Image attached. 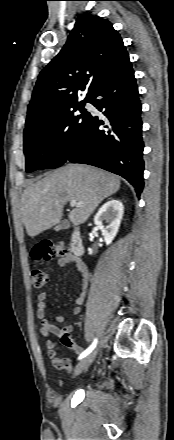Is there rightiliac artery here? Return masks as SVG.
I'll return each mask as SVG.
<instances>
[{"label": "right iliac artery", "mask_w": 174, "mask_h": 440, "mask_svg": "<svg viewBox=\"0 0 174 440\" xmlns=\"http://www.w3.org/2000/svg\"><path fill=\"white\" fill-rule=\"evenodd\" d=\"M96 345H97V339H95V340L93 341V343L91 344L90 347H88L84 352H82V353L80 354V356L78 357V359L80 360V359L86 357L88 354H90V353L94 350V348L96 347Z\"/></svg>", "instance_id": "obj_1"}]
</instances>
